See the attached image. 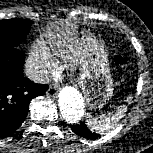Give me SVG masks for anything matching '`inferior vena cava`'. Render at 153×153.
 I'll use <instances>...</instances> for the list:
<instances>
[{"mask_svg": "<svg viewBox=\"0 0 153 153\" xmlns=\"http://www.w3.org/2000/svg\"><path fill=\"white\" fill-rule=\"evenodd\" d=\"M26 76L35 83L49 82V75L42 69L27 65L25 69Z\"/></svg>", "mask_w": 153, "mask_h": 153, "instance_id": "602c4592", "label": "inferior vena cava"}]
</instances>
